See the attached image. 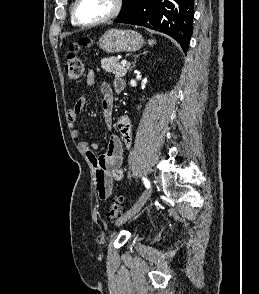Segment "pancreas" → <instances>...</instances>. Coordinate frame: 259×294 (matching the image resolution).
Instances as JSON below:
<instances>
[{"label": "pancreas", "instance_id": "1", "mask_svg": "<svg viewBox=\"0 0 259 294\" xmlns=\"http://www.w3.org/2000/svg\"><path fill=\"white\" fill-rule=\"evenodd\" d=\"M101 67L108 73H112L116 77H123L129 70V65L121 66L116 57L101 59Z\"/></svg>", "mask_w": 259, "mask_h": 294}]
</instances>
